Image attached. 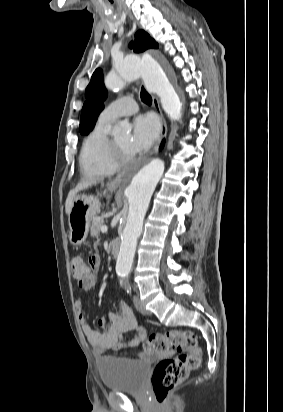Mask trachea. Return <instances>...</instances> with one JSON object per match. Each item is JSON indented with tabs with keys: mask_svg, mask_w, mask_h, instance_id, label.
Instances as JSON below:
<instances>
[{
	"mask_svg": "<svg viewBox=\"0 0 283 412\" xmlns=\"http://www.w3.org/2000/svg\"><path fill=\"white\" fill-rule=\"evenodd\" d=\"M140 97L141 100L146 103V104H151L152 103V98L150 94L145 90V88L142 86L141 92H140Z\"/></svg>",
	"mask_w": 283,
	"mask_h": 412,
	"instance_id": "1",
	"label": "trachea"
}]
</instances>
